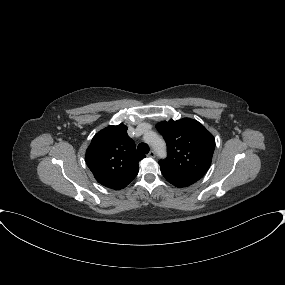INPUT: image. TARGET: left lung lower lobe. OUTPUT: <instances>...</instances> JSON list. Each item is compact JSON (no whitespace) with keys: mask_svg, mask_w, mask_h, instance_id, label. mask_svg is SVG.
Wrapping results in <instances>:
<instances>
[{"mask_svg":"<svg viewBox=\"0 0 285 285\" xmlns=\"http://www.w3.org/2000/svg\"><path fill=\"white\" fill-rule=\"evenodd\" d=\"M161 173L169 183H171L172 185L178 188L190 186L191 184L195 183L202 177L200 175L175 174V173L166 171L164 169H161Z\"/></svg>","mask_w":285,"mask_h":285,"instance_id":"obj_1","label":"left lung lower lobe"}]
</instances>
